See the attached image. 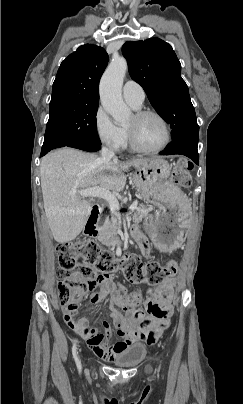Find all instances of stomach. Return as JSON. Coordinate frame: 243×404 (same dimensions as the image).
<instances>
[{
	"label": "stomach",
	"mask_w": 243,
	"mask_h": 404,
	"mask_svg": "<svg viewBox=\"0 0 243 404\" xmlns=\"http://www.w3.org/2000/svg\"><path fill=\"white\" fill-rule=\"evenodd\" d=\"M170 173L169 163L159 157L150 158L133 173L136 188L156 209L154 214L144 217V227L163 252L181 246L191 223L189 199L169 180Z\"/></svg>",
	"instance_id": "obj_1"
}]
</instances>
